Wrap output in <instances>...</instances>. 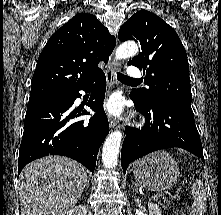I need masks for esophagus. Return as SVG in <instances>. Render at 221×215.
Instances as JSON below:
<instances>
[{"instance_id":"obj_1","label":"esophagus","mask_w":221,"mask_h":215,"mask_svg":"<svg viewBox=\"0 0 221 215\" xmlns=\"http://www.w3.org/2000/svg\"><path fill=\"white\" fill-rule=\"evenodd\" d=\"M120 68H121V62H119V61L110 63L106 66L105 75L107 78V83H108L109 89L114 87V85H115V72L117 70H120ZM109 126L112 129L119 128L118 120L115 117L111 116L109 118Z\"/></svg>"}]
</instances>
